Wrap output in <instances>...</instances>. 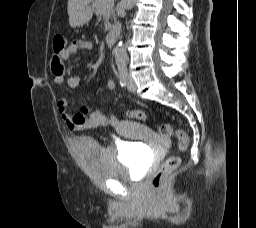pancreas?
<instances>
[{"instance_id": "1", "label": "pancreas", "mask_w": 256, "mask_h": 228, "mask_svg": "<svg viewBox=\"0 0 256 228\" xmlns=\"http://www.w3.org/2000/svg\"><path fill=\"white\" fill-rule=\"evenodd\" d=\"M113 2H106L105 0H95L92 3V10L98 17H103L105 31L111 29V24L109 20L111 17L115 20V13L113 11Z\"/></svg>"}]
</instances>
